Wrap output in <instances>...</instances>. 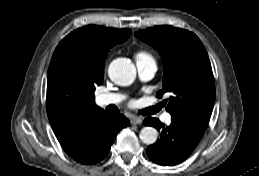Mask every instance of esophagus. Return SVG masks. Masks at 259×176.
Segmentation results:
<instances>
[{"label": "esophagus", "mask_w": 259, "mask_h": 176, "mask_svg": "<svg viewBox=\"0 0 259 176\" xmlns=\"http://www.w3.org/2000/svg\"><path fill=\"white\" fill-rule=\"evenodd\" d=\"M130 122L134 125H139V124L142 123V118L137 117V116H133V117H131Z\"/></svg>", "instance_id": "1"}]
</instances>
